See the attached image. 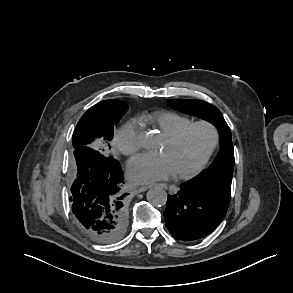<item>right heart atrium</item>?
<instances>
[{"label": "right heart atrium", "mask_w": 293, "mask_h": 293, "mask_svg": "<svg viewBox=\"0 0 293 293\" xmlns=\"http://www.w3.org/2000/svg\"><path fill=\"white\" fill-rule=\"evenodd\" d=\"M116 149L125 156H131L140 149L139 126L136 121L124 123L115 133Z\"/></svg>", "instance_id": "d8ad5b80"}]
</instances>
